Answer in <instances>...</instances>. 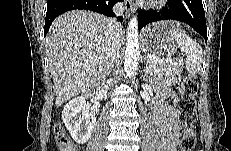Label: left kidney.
Listing matches in <instances>:
<instances>
[{
	"label": "left kidney",
	"mask_w": 231,
	"mask_h": 151,
	"mask_svg": "<svg viewBox=\"0 0 231 151\" xmlns=\"http://www.w3.org/2000/svg\"><path fill=\"white\" fill-rule=\"evenodd\" d=\"M147 68H148V67H147ZM149 72H150V71H147V73H146V74L148 75V73H149Z\"/></svg>",
	"instance_id": "1"
}]
</instances>
